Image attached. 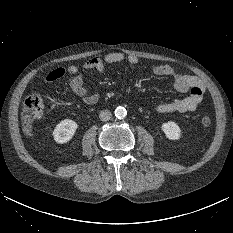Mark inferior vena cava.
Segmentation results:
<instances>
[{"label": "inferior vena cava", "mask_w": 233, "mask_h": 233, "mask_svg": "<svg viewBox=\"0 0 233 233\" xmlns=\"http://www.w3.org/2000/svg\"><path fill=\"white\" fill-rule=\"evenodd\" d=\"M111 112L109 110H102L100 113H99V118L101 121H108L111 119Z\"/></svg>", "instance_id": "inferior-vena-cava-1"}]
</instances>
